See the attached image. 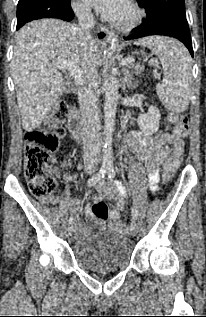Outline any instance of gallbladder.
Returning <instances> with one entry per match:
<instances>
[{
  "instance_id": "bac80fb5",
  "label": "gallbladder",
  "mask_w": 206,
  "mask_h": 317,
  "mask_svg": "<svg viewBox=\"0 0 206 317\" xmlns=\"http://www.w3.org/2000/svg\"><path fill=\"white\" fill-rule=\"evenodd\" d=\"M65 86L68 87V83H66Z\"/></svg>"
}]
</instances>
